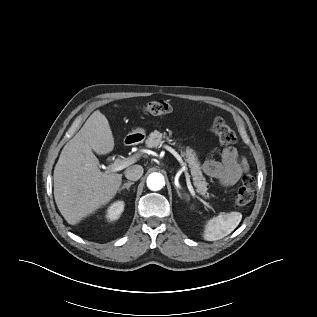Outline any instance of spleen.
I'll list each match as a JSON object with an SVG mask.
<instances>
[{
  "label": "spleen",
  "mask_w": 317,
  "mask_h": 317,
  "mask_svg": "<svg viewBox=\"0 0 317 317\" xmlns=\"http://www.w3.org/2000/svg\"><path fill=\"white\" fill-rule=\"evenodd\" d=\"M242 219L240 212L219 214L209 219L205 225L203 238L206 241H216L233 232Z\"/></svg>",
  "instance_id": "spleen-1"
}]
</instances>
